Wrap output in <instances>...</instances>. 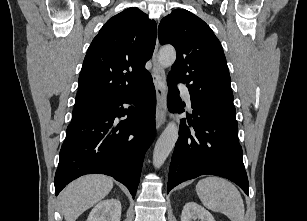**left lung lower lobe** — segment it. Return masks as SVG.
<instances>
[{"instance_id":"0a47b994","label":"left lung lower lobe","mask_w":307,"mask_h":221,"mask_svg":"<svg viewBox=\"0 0 307 221\" xmlns=\"http://www.w3.org/2000/svg\"><path fill=\"white\" fill-rule=\"evenodd\" d=\"M170 88L168 108L183 112L176 81L167 78ZM193 120L190 130L182 119L180 136L172 155L167 193L183 181L211 174L235 182L248 194V179L243 164L242 148L238 139L237 123L192 101Z\"/></svg>"}]
</instances>
